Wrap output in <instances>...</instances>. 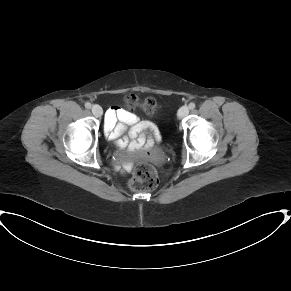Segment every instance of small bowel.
Returning <instances> with one entry per match:
<instances>
[{
    "label": "small bowel",
    "mask_w": 291,
    "mask_h": 291,
    "mask_svg": "<svg viewBox=\"0 0 291 291\" xmlns=\"http://www.w3.org/2000/svg\"><path fill=\"white\" fill-rule=\"evenodd\" d=\"M134 118L132 114L123 109L122 107L112 106L106 111L105 115V129L110 132L112 136L120 133L125 123H128ZM136 133H133L134 136ZM153 144L151 138H147L144 135L135 139L131 145V150L148 149Z\"/></svg>",
    "instance_id": "c3829d8e"
}]
</instances>
